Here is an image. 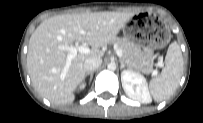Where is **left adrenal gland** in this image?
Listing matches in <instances>:
<instances>
[{
    "instance_id": "obj_1",
    "label": "left adrenal gland",
    "mask_w": 203,
    "mask_h": 123,
    "mask_svg": "<svg viewBox=\"0 0 203 123\" xmlns=\"http://www.w3.org/2000/svg\"><path fill=\"white\" fill-rule=\"evenodd\" d=\"M120 64H121L120 69H123L125 66L128 67V65L121 58H120Z\"/></svg>"
}]
</instances>
